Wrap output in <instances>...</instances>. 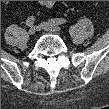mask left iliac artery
<instances>
[{
    "mask_svg": "<svg viewBox=\"0 0 109 109\" xmlns=\"http://www.w3.org/2000/svg\"><path fill=\"white\" fill-rule=\"evenodd\" d=\"M49 22L54 25H61V24H65L67 22V20L62 19V18H53V19H50Z\"/></svg>",
    "mask_w": 109,
    "mask_h": 109,
    "instance_id": "1",
    "label": "left iliac artery"
}]
</instances>
